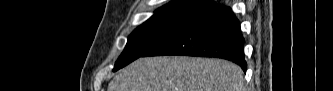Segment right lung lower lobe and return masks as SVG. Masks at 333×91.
<instances>
[{
    "instance_id": "1",
    "label": "right lung lower lobe",
    "mask_w": 333,
    "mask_h": 91,
    "mask_svg": "<svg viewBox=\"0 0 333 91\" xmlns=\"http://www.w3.org/2000/svg\"><path fill=\"white\" fill-rule=\"evenodd\" d=\"M244 38L238 19L229 7L213 4L142 57L185 55L223 58L246 72Z\"/></svg>"
}]
</instances>
